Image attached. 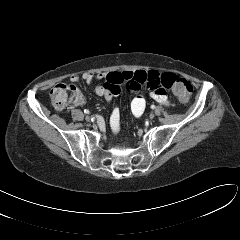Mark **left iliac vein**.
Returning a JSON list of instances; mask_svg holds the SVG:
<instances>
[{
	"label": "left iliac vein",
	"instance_id": "left-iliac-vein-1",
	"mask_svg": "<svg viewBox=\"0 0 240 240\" xmlns=\"http://www.w3.org/2000/svg\"><path fill=\"white\" fill-rule=\"evenodd\" d=\"M155 117V115L152 113L150 114V119H153Z\"/></svg>",
	"mask_w": 240,
	"mask_h": 240
}]
</instances>
